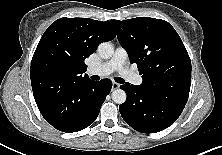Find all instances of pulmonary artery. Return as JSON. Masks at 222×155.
I'll return each instance as SVG.
<instances>
[{
	"label": "pulmonary artery",
	"mask_w": 222,
	"mask_h": 155,
	"mask_svg": "<svg viewBox=\"0 0 222 155\" xmlns=\"http://www.w3.org/2000/svg\"><path fill=\"white\" fill-rule=\"evenodd\" d=\"M128 59L127 51L119 46L115 49V52L111 59L104 62L96 68H90L88 70L89 74L106 76L114 71L119 72V74L128 80L130 83L139 85L142 83V78L135 72L131 71L127 66L126 62Z\"/></svg>",
	"instance_id": "e3ab8cb5"
}]
</instances>
